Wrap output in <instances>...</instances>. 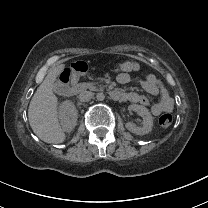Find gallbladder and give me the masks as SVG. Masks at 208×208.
Segmentation results:
<instances>
[{"label":"gallbladder","instance_id":"1","mask_svg":"<svg viewBox=\"0 0 208 208\" xmlns=\"http://www.w3.org/2000/svg\"><path fill=\"white\" fill-rule=\"evenodd\" d=\"M54 92L56 95L58 96H63V97H66L69 95L70 93V90L68 87H66L65 84L63 83H57L54 87Z\"/></svg>","mask_w":208,"mask_h":208}]
</instances>
